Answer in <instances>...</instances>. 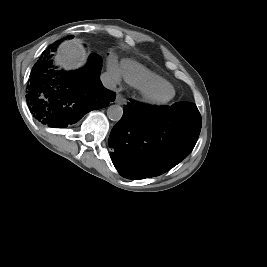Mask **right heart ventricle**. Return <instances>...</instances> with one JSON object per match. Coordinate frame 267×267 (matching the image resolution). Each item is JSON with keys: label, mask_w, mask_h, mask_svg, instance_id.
Here are the masks:
<instances>
[{"label": "right heart ventricle", "mask_w": 267, "mask_h": 267, "mask_svg": "<svg viewBox=\"0 0 267 267\" xmlns=\"http://www.w3.org/2000/svg\"><path fill=\"white\" fill-rule=\"evenodd\" d=\"M121 67L126 81L135 87L140 88L151 84L168 83L161 76L136 62L124 60Z\"/></svg>", "instance_id": "obj_1"}]
</instances>
